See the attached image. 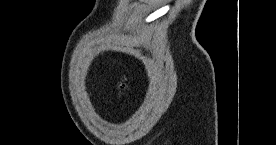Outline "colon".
I'll return each mask as SVG.
<instances>
[{
    "instance_id": "colon-1",
    "label": "colon",
    "mask_w": 276,
    "mask_h": 145,
    "mask_svg": "<svg viewBox=\"0 0 276 145\" xmlns=\"http://www.w3.org/2000/svg\"><path fill=\"white\" fill-rule=\"evenodd\" d=\"M129 91V85L126 82L121 83L120 92L122 95H125Z\"/></svg>"
}]
</instances>
